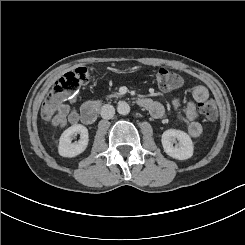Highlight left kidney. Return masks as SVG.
<instances>
[{"instance_id":"5707ae66","label":"left kidney","mask_w":245,"mask_h":245,"mask_svg":"<svg viewBox=\"0 0 245 245\" xmlns=\"http://www.w3.org/2000/svg\"><path fill=\"white\" fill-rule=\"evenodd\" d=\"M161 142L164 151L172 158L186 160L193 155V142L190 136L181 130H166L162 134Z\"/></svg>"}]
</instances>
